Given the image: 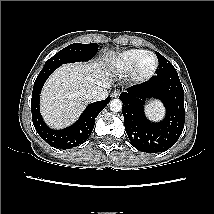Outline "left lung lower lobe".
Returning a JSON list of instances; mask_svg holds the SVG:
<instances>
[{
  "instance_id": "left-lung-lower-lobe-1",
  "label": "left lung lower lobe",
  "mask_w": 214,
  "mask_h": 214,
  "mask_svg": "<svg viewBox=\"0 0 214 214\" xmlns=\"http://www.w3.org/2000/svg\"><path fill=\"white\" fill-rule=\"evenodd\" d=\"M125 130L131 144L147 153L163 152L179 139L185 121L184 90L177 73L157 74L120 94ZM155 98L166 108L165 118L154 123L144 114L145 100Z\"/></svg>"
}]
</instances>
